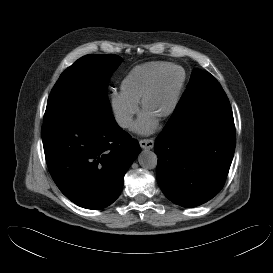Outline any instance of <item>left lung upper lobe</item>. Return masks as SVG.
<instances>
[{
	"mask_svg": "<svg viewBox=\"0 0 273 273\" xmlns=\"http://www.w3.org/2000/svg\"><path fill=\"white\" fill-rule=\"evenodd\" d=\"M207 83H211L210 85L212 86L208 91L201 87L202 85H207ZM218 92H224L219 82L210 73L202 71L201 69H195L191 74L190 82L185 92L183 93L174 113L181 111L197 96L199 97L203 94L214 96L217 95Z\"/></svg>",
	"mask_w": 273,
	"mask_h": 273,
	"instance_id": "5c2ea615",
	"label": "left lung upper lobe"
}]
</instances>
